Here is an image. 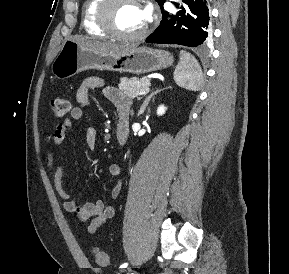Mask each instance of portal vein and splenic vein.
Returning a JSON list of instances; mask_svg holds the SVG:
<instances>
[{
    "label": "portal vein and splenic vein",
    "instance_id": "18ae733b",
    "mask_svg": "<svg viewBox=\"0 0 289 274\" xmlns=\"http://www.w3.org/2000/svg\"><path fill=\"white\" fill-rule=\"evenodd\" d=\"M150 88L147 87L146 89H144L143 91L139 92V95H144L146 94L147 92H149Z\"/></svg>",
    "mask_w": 289,
    "mask_h": 274
}]
</instances>
